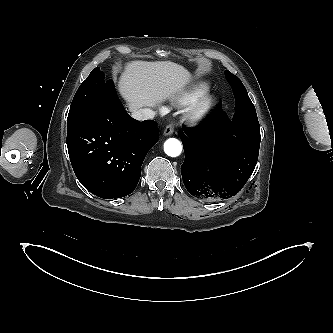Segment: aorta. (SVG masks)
I'll list each match as a JSON object with an SVG mask.
<instances>
[{
    "instance_id": "obj_1",
    "label": "aorta",
    "mask_w": 333,
    "mask_h": 333,
    "mask_svg": "<svg viewBox=\"0 0 333 333\" xmlns=\"http://www.w3.org/2000/svg\"><path fill=\"white\" fill-rule=\"evenodd\" d=\"M164 151L170 157H177L182 152L181 142L176 138H169L164 143Z\"/></svg>"
}]
</instances>
